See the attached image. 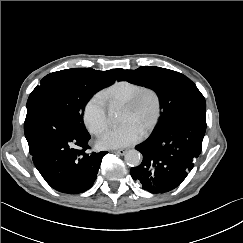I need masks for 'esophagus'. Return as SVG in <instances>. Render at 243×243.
Segmentation results:
<instances>
[{
    "instance_id": "obj_1",
    "label": "esophagus",
    "mask_w": 243,
    "mask_h": 243,
    "mask_svg": "<svg viewBox=\"0 0 243 243\" xmlns=\"http://www.w3.org/2000/svg\"><path fill=\"white\" fill-rule=\"evenodd\" d=\"M114 152L117 153V154H119V155H125L126 152H127V150H125V149H119V150H115Z\"/></svg>"
}]
</instances>
